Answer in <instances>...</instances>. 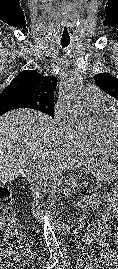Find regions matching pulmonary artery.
<instances>
[{
	"label": "pulmonary artery",
	"mask_w": 118,
	"mask_h": 269,
	"mask_svg": "<svg viewBox=\"0 0 118 269\" xmlns=\"http://www.w3.org/2000/svg\"><path fill=\"white\" fill-rule=\"evenodd\" d=\"M82 101L86 107L100 111L104 108L105 96L97 86L91 84L85 87Z\"/></svg>",
	"instance_id": "obj_1"
}]
</instances>
